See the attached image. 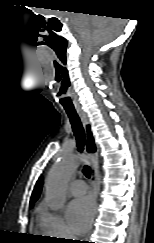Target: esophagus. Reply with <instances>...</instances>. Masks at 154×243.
I'll return each mask as SVG.
<instances>
[{"instance_id":"34e87169","label":"esophagus","mask_w":154,"mask_h":243,"mask_svg":"<svg viewBox=\"0 0 154 243\" xmlns=\"http://www.w3.org/2000/svg\"><path fill=\"white\" fill-rule=\"evenodd\" d=\"M77 112L81 118L83 123L85 134H86V153L91 158V180H92V192L94 197V216L97 213V201H98V194H99V184H98V170H97V159H98V145L96 143L95 136L92 131V125L88 120L86 113L81 110L77 109ZM91 231L89 232L88 236L90 235Z\"/></svg>"}]
</instances>
